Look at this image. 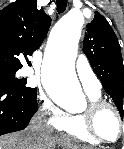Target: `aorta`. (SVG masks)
I'll return each mask as SVG.
<instances>
[{"label":"aorta","mask_w":124,"mask_h":149,"mask_svg":"<svg viewBox=\"0 0 124 149\" xmlns=\"http://www.w3.org/2000/svg\"><path fill=\"white\" fill-rule=\"evenodd\" d=\"M84 24V13L71 10L54 26L42 68V84L47 94L55 101H64L72 109L85 104L75 73L78 42Z\"/></svg>","instance_id":"aorta-1"}]
</instances>
